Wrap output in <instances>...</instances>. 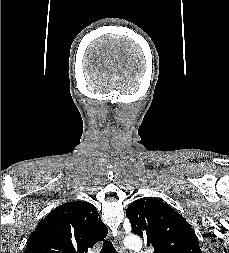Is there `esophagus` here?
Wrapping results in <instances>:
<instances>
[{
  "mask_svg": "<svg viewBox=\"0 0 229 253\" xmlns=\"http://www.w3.org/2000/svg\"><path fill=\"white\" fill-rule=\"evenodd\" d=\"M114 245H115L118 253H125V249H124V246H123V235H122V233H119L114 238Z\"/></svg>",
  "mask_w": 229,
  "mask_h": 253,
  "instance_id": "obj_1",
  "label": "esophagus"
}]
</instances>
